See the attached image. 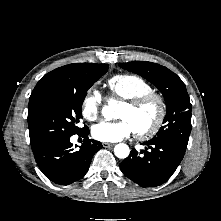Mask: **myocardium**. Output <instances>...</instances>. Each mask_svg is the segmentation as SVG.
<instances>
[{
  "instance_id": "f54148a6",
  "label": "myocardium",
  "mask_w": 221,
  "mask_h": 221,
  "mask_svg": "<svg viewBox=\"0 0 221 221\" xmlns=\"http://www.w3.org/2000/svg\"><path fill=\"white\" fill-rule=\"evenodd\" d=\"M149 104H154L156 106L157 114L155 120L148 128L144 130H135L137 138L141 140L152 138L162 127L166 116V102L159 93H156L154 91L123 102V105L135 111L140 110Z\"/></svg>"
}]
</instances>
